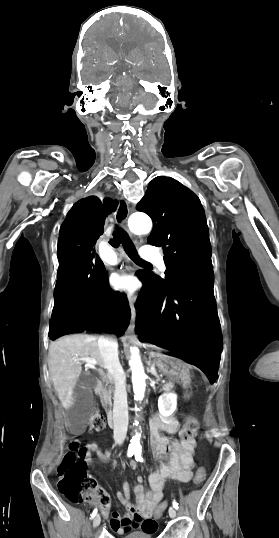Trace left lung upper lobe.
Masks as SVG:
<instances>
[{"mask_svg":"<svg viewBox=\"0 0 279 538\" xmlns=\"http://www.w3.org/2000/svg\"><path fill=\"white\" fill-rule=\"evenodd\" d=\"M137 210L152 218L148 243L162 247L167 268L165 279L146 273L142 280L165 292L171 285L213 272L204 210L192 191L172 178L158 176L149 183Z\"/></svg>","mask_w":279,"mask_h":538,"instance_id":"5c2ea615","label":"left lung upper lobe"}]
</instances>
